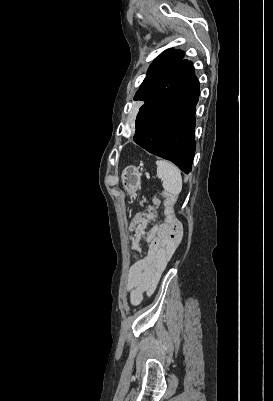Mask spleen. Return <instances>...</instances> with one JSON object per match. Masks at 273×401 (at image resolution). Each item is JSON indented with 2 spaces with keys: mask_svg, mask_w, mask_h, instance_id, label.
<instances>
[{
  "mask_svg": "<svg viewBox=\"0 0 273 401\" xmlns=\"http://www.w3.org/2000/svg\"><path fill=\"white\" fill-rule=\"evenodd\" d=\"M157 176L162 180V186L170 194L178 196L182 190V176L179 168L168 160H156Z\"/></svg>",
  "mask_w": 273,
  "mask_h": 401,
  "instance_id": "3e777b00",
  "label": "spleen"
}]
</instances>
